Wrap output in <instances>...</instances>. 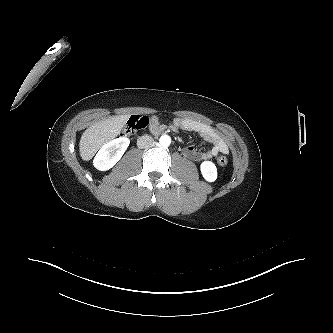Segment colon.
<instances>
[{
  "instance_id": "colon-1",
  "label": "colon",
  "mask_w": 333,
  "mask_h": 333,
  "mask_svg": "<svg viewBox=\"0 0 333 333\" xmlns=\"http://www.w3.org/2000/svg\"><path fill=\"white\" fill-rule=\"evenodd\" d=\"M150 119L151 118L147 116H131L130 119L127 121L125 127L123 128L122 134L124 136H130L135 134L138 130L148 126V124L150 123ZM216 162L219 166H225L227 165L228 160L224 155L218 154L216 157Z\"/></svg>"
}]
</instances>
